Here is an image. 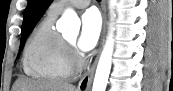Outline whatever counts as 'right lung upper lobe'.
Instances as JSON below:
<instances>
[{
  "instance_id": "obj_1",
  "label": "right lung upper lobe",
  "mask_w": 173,
  "mask_h": 91,
  "mask_svg": "<svg viewBox=\"0 0 173 91\" xmlns=\"http://www.w3.org/2000/svg\"><path fill=\"white\" fill-rule=\"evenodd\" d=\"M51 0H38L30 14L28 24L25 30V35L31 33L36 23L39 21L47 7L50 5ZM24 38V37H22Z\"/></svg>"
}]
</instances>
